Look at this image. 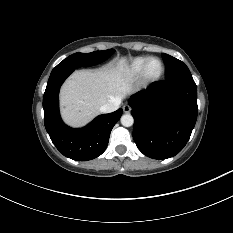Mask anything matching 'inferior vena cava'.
Instances as JSON below:
<instances>
[{
  "label": "inferior vena cava",
  "mask_w": 233,
  "mask_h": 233,
  "mask_svg": "<svg viewBox=\"0 0 233 233\" xmlns=\"http://www.w3.org/2000/svg\"><path fill=\"white\" fill-rule=\"evenodd\" d=\"M119 105H120V100L114 99L102 105L99 110L102 113H111L116 111L119 108Z\"/></svg>",
  "instance_id": "1"
}]
</instances>
